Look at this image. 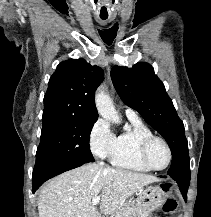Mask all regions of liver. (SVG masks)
I'll return each instance as SVG.
<instances>
[{"mask_svg": "<svg viewBox=\"0 0 211 217\" xmlns=\"http://www.w3.org/2000/svg\"><path fill=\"white\" fill-rule=\"evenodd\" d=\"M159 179L109 166L87 164L55 177L38 196L39 217H101L92 200L110 215L128 196Z\"/></svg>", "mask_w": 211, "mask_h": 217, "instance_id": "1", "label": "liver"}]
</instances>
